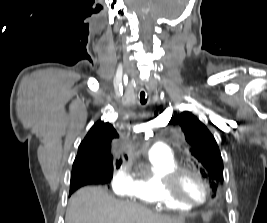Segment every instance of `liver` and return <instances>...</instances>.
I'll list each match as a JSON object with an SVG mask.
<instances>
[{
    "label": "liver",
    "mask_w": 267,
    "mask_h": 223,
    "mask_svg": "<svg viewBox=\"0 0 267 223\" xmlns=\"http://www.w3.org/2000/svg\"><path fill=\"white\" fill-rule=\"evenodd\" d=\"M66 223H184L174 217L128 201L113 198L102 187H85L69 201Z\"/></svg>",
    "instance_id": "liver-1"
}]
</instances>
